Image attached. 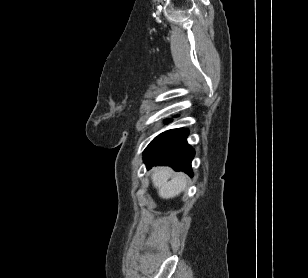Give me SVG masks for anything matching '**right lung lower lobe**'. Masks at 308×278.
<instances>
[{
	"label": "right lung lower lobe",
	"mask_w": 308,
	"mask_h": 278,
	"mask_svg": "<svg viewBox=\"0 0 308 278\" xmlns=\"http://www.w3.org/2000/svg\"><path fill=\"white\" fill-rule=\"evenodd\" d=\"M187 129H173L158 135L143 152L144 162L148 168L154 165H168L175 171H184L191 177V161L194 149L188 145Z\"/></svg>",
	"instance_id": "right-lung-lower-lobe-1"
}]
</instances>
